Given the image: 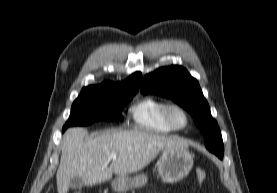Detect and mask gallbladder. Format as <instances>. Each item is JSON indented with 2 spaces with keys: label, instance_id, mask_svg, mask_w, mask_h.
Instances as JSON below:
<instances>
[{
  "label": "gallbladder",
  "instance_id": "1",
  "mask_svg": "<svg viewBox=\"0 0 277 193\" xmlns=\"http://www.w3.org/2000/svg\"><path fill=\"white\" fill-rule=\"evenodd\" d=\"M83 187V182L81 178L75 177L70 182V188L72 189H81Z\"/></svg>",
  "mask_w": 277,
  "mask_h": 193
}]
</instances>
